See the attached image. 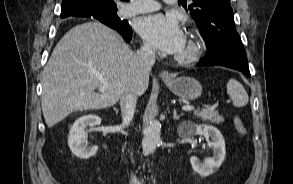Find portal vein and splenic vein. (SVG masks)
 Instances as JSON below:
<instances>
[{"label":"portal vein and splenic vein","mask_w":293,"mask_h":184,"mask_svg":"<svg viewBox=\"0 0 293 184\" xmlns=\"http://www.w3.org/2000/svg\"><path fill=\"white\" fill-rule=\"evenodd\" d=\"M98 77H99L100 81H101L102 84H103V85H102V88H101L100 90H104V89H107V88L110 87L109 83L106 82L102 76L98 75ZM182 109H183L184 111H191V110H193L194 108L191 107V106H183Z\"/></svg>","instance_id":"portal-vein-and-splenic-vein-1"}]
</instances>
